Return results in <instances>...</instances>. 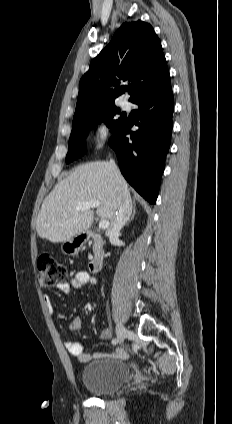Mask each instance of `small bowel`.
<instances>
[{
	"instance_id": "1",
	"label": "small bowel",
	"mask_w": 232,
	"mask_h": 424,
	"mask_svg": "<svg viewBox=\"0 0 232 424\" xmlns=\"http://www.w3.org/2000/svg\"><path fill=\"white\" fill-rule=\"evenodd\" d=\"M85 285L94 286L96 285V279L87 271H78L74 275V277L71 279L70 282H61L58 283L56 288L58 291H60L63 294L69 295L72 292V289L74 288H80ZM44 304L46 308L50 311H53V302L50 296L45 295L44 298ZM82 326V319L80 317H74L70 323H69V330L71 332H78L81 329ZM112 337V331L110 328L106 327L102 329L100 333V338L102 340H109ZM66 349L69 352V354L75 358H77L80 362H88L92 358H98L105 355V353L102 352H95L93 354L87 353L84 351V346L81 342L76 340H69L65 343ZM114 355L117 358H125L127 355V352L124 349H118L114 352Z\"/></svg>"
}]
</instances>
